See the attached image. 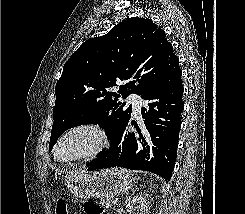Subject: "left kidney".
<instances>
[{
  "mask_svg": "<svg viewBox=\"0 0 245 214\" xmlns=\"http://www.w3.org/2000/svg\"><path fill=\"white\" fill-rule=\"evenodd\" d=\"M126 207L130 214H147L146 200L142 196L133 197Z\"/></svg>",
  "mask_w": 245,
  "mask_h": 214,
  "instance_id": "5707ae66",
  "label": "left kidney"
}]
</instances>
